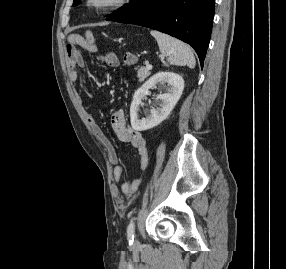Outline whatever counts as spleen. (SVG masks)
I'll use <instances>...</instances> for the list:
<instances>
[{
    "instance_id": "1",
    "label": "spleen",
    "mask_w": 286,
    "mask_h": 269,
    "mask_svg": "<svg viewBox=\"0 0 286 269\" xmlns=\"http://www.w3.org/2000/svg\"><path fill=\"white\" fill-rule=\"evenodd\" d=\"M151 35L156 39L162 54L167 56L168 65H187L193 69L196 65L195 57L188 45L167 34L152 30Z\"/></svg>"
}]
</instances>
